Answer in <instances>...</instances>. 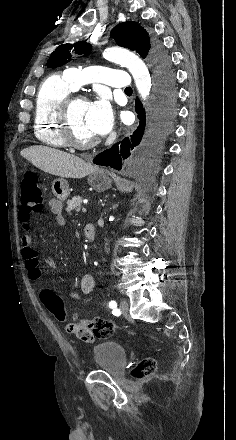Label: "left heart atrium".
<instances>
[{"instance_id": "39dd6f15", "label": "left heart atrium", "mask_w": 236, "mask_h": 440, "mask_svg": "<svg viewBox=\"0 0 236 440\" xmlns=\"http://www.w3.org/2000/svg\"><path fill=\"white\" fill-rule=\"evenodd\" d=\"M88 120L96 135H105L111 130L113 113L106 98H99L89 104Z\"/></svg>"}]
</instances>
